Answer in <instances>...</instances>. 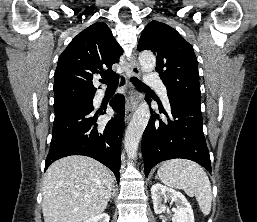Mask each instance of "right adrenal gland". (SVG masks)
<instances>
[{
    "label": "right adrenal gland",
    "instance_id": "right-adrenal-gland-1",
    "mask_svg": "<svg viewBox=\"0 0 257 222\" xmlns=\"http://www.w3.org/2000/svg\"><path fill=\"white\" fill-rule=\"evenodd\" d=\"M114 193H115V191H113L112 194H111V195H112V199H113V197H114Z\"/></svg>",
    "mask_w": 257,
    "mask_h": 222
}]
</instances>
